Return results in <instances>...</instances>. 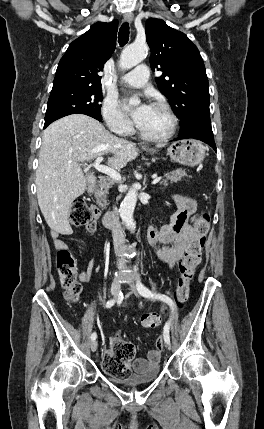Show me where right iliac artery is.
<instances>
[{"instance_id":"82829eb1","label":"right iliac artery","mask_w":264,"mask_h":429,"mask_svg":"<svg viewBox=\"0 0 264 429\" xmlns=\"http://www.w3.org/2000/svg\"><path fill=\"white\" fill-rule=\"evenodd\" d=\"M122 296V293L120 292L119 294H118V297H121ZM115 299H111V300H109L107 303H106V308H110V307H112L114 304H115ZM96 337H97V334L94 332V333H92V335H91V340L93 341V340H95L96 339Z\"/></svg>"}]
</instances>
